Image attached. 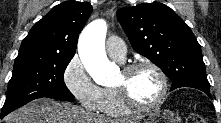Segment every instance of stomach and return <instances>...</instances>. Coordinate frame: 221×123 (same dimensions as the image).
I'll return each mask as SVG.
<instances>
[{"instance_id":"obj_1","label":"stomach","mask_w":221,"mask_h":123,"mask_svg":"<svg viewBox=\"0 0 221 123\" xmlns=\"http://www.w3.org/2000/svg\"><path fill=\"white\" fill-rule=\"evenodd\" d=\"M133 123H180V119L170 110L155 109L140 115Z\"/></svg>"}]
</instances>
